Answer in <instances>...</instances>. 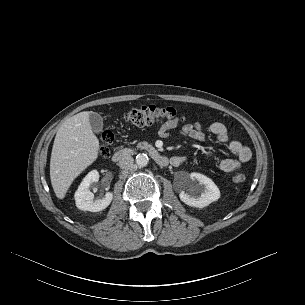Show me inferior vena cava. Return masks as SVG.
<instances>
[{"label":"inferior vena cava","mask_w":305,"mask_h":305,"mask_svg":"<svg viewBox=\"0 0 305 305\" xmlns=\"http://www.w3.org/2000/svg\"><path fill=\"white\" fill-rule=\"evenodd\" d=\"M134 159L130 155H124L119 160V167L122 169H132L134 166Z\"/></svg>","instance_id":"602c4592"}]
</instances>
